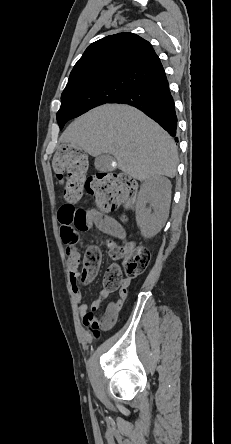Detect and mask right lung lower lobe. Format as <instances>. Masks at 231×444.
<instances>
[{
  "label": "right lung lower lobe",
  "mask_w": 231,
  "mask_h": 444,
  "mask_svg": "<svg viewBox=\"0 0 231 444\" xmlns=\"http://www.w3.org/2000/svg\"><path fill=\"white\" fill-rule=\"evenodd\" d=\"M115 103L129 104L140 109L178 142L175 105L165 72L138 82Z\"/></svg>",
  "instance_id": "right-lung-lower-lobe-1"
}]
</instances>
